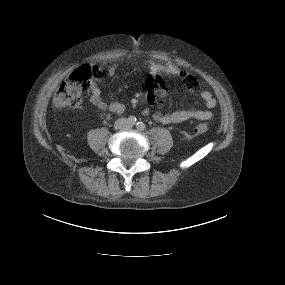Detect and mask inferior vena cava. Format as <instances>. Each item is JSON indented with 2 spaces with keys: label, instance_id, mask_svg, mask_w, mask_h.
Returning a JSON list of instances; mask_svg holds the SVG:
<instances>
[{
  "label": "inferior vena cava",
  "instance_id": "inferior-vena-cava-1",
  "mask_svg": "<svg viewBox=\"0 0 285 285\" xmlns=\"http://www.w3.org/2000/svg\"><path fill=\"white\" fill-rule=\"evenodd\" d=\"M130 127L129 121L126 118H119L114 124L116 130H126Z\"/></svg>",
  "mask_w": 285,
  "mask_h": 285
}]
</instances>
